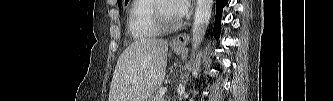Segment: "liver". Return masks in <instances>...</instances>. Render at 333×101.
Wrapping results in <instances>:
<instances>
[{
  "label": "liver",
  "instance_id": "obj_1",
  "mask_svg": "<svg viewBox=\"0 0 333 101\" xmlns=\"http://www.w3.org/2000/svg\"><path fill=\"white\" fill-rule=\"evenodd\" d=\"M168 43L146 38L135 41L118 58L108 101H147L161 86Z\"/></svg>",
  "mask_w": 333,
  "mask_h": 101
}]
</instances>
